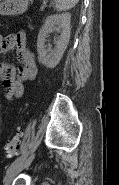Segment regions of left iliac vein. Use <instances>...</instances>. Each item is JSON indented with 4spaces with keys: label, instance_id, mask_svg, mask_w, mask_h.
I'll return each instance as SVG.
<instances>
[{
    "label": "left iliac vein",
    "instance_id": "4c4485c4",
    "mask_svg": "<svg viewBox=\"0 0 119 185\" xmlns=\"http://www.w3.org/2000/svg\"><path fill=\"white\" fill-rule=\"evenodd\" d=\"M33 159L34 155H31L27 158L25 157L18 165H16L11 171H9L5 177V185H11L15 176L19 174L25 167H27Z\"/></svg>",
    "mask_w": 119,
    "mask_h": 185
}]
</instances>
